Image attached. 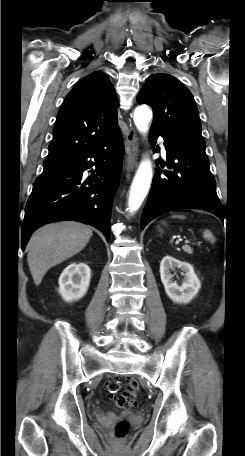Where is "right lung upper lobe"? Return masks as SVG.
<instances>
[{"instance_id":"obj_1","label":"right lung upper lobe","mask_w":245,"mask_h":456,"mask_svg":"<svg viewBox=\"0 0 245 456\" xmlns=\"http://www.w3.org/2000/svg\"><path fill=\"white\" fill-rule=\"evenodd\" d=\"M44 169L62 165L120 131L117 98L102 72L81 79L66 96L53 128Z\"/></svg>"}]
</instances>
